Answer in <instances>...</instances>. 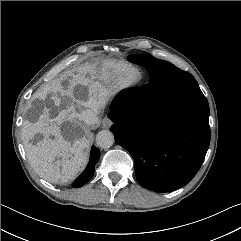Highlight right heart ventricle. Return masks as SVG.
Masks as SVG:
<instances>
[{"label":"right heart ventricle","instance_id":"1","mask_svg":"<svg viewBox=\"0 0 241 241\" xmlns=\"http://www.w3.org/2000/svg\"><path fill=\"white\" fill-rule=\"evenodd\" d=\"M128 66L129 64L124 62L113 63L107 68V75L110 79L117 80L120 73Z\"/></svg>","mask_w":241,"mask_h":241}]
</instances>
